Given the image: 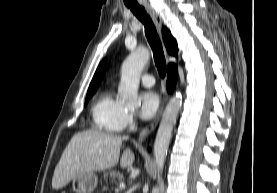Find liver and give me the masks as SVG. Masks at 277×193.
Listing matches in <instances>:
<instances>
[{
    "label": "liver",
    "instance_id": "liver-1",
    "mask_svg": "<svg viewBox=\"0 0 277 193\" xmlns=\"http://www.w3.org/2000/svg\"><path fill=\"white\" fill-rule=\"evenodd\" d=\"M124 139L125 137L98 130H87L74 135L54 170L52 188L61 189L80 174L114 167L119 162ZM134 159V153L126 148L120 166L127 168Z\"/></svg>",
    "mask_w": 277,
    "mask_h": 193
}]
</instances>
